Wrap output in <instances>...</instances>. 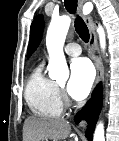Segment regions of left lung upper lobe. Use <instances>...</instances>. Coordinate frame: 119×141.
I'll return each mask as SVG.
<instances>
[{
    "mask_svg": "<svg viewBox=\"0 0 119 141\" xmlns=\"http://www.w3.org/2000/svg\"><path fill=\"white\" fill-rule=\"evenodd\" d=\"M43 27H44L43 17L39 15L35 18L30 28L31 40L28 46L29 53L33 52L39 45L41 41Z\"/></svg>",
    "mask_w": 119,
    "mask_h": 141,
    "instance_id": "5c2ea615",
    "label": "left lung upper lobe"
}]
</instances>
